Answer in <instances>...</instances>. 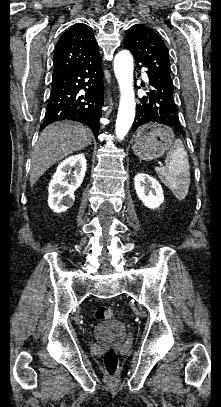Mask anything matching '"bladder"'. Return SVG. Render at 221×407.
I'll return each instance as SVG.
<instances>
[{
	"label": "bladder",
	"instance_id": "bladder-1",
	"mask_svg": "<svg viewBox=\"0 0 221 407\" xmlns=\"http://www.w3.org/2000/svg\"><path fill=\"white\" fill-rule=\"evenodd\" d=\"M126 324L121 319H112L106 324L97 325L93 333L95 337L109 341H118L126 334Z\"/></svg>",
	"mask_w": 221,
	"mask_h": 407
}]
</instances>
